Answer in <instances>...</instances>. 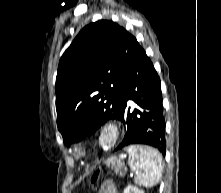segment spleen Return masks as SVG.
Here are the masks:
<instances>
[{
    "label": "spleen",
    "mask_w": 221,
    "mask_h": 193,
    "mask_svg": "<svg viewBox=\"0 0 221 193\" xmlns=\"http://www.w3.org/2000/svg\"><path fill=\"white\" fill-rule=\"evenodd\" d=\"M128 165L135 173L134 181L145 187H153L162 177V156L150 146H129Z\"/></svg>",
    "instance_id": "3e777b00"
}]
</instances>
